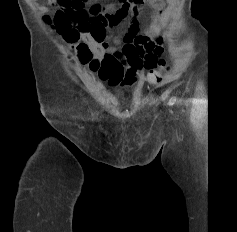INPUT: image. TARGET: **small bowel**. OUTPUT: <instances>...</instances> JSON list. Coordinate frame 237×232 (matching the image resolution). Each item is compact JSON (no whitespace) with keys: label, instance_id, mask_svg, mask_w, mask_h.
Instances as JSON below:
<instances>
[{"label":"small bowel","instance_id":"1","mask_svg":"<svg viewBox=\"0 0 237 232\" xmlns=\"http://www.w3.org/2000/svg\"><path fill=\"white\" fill-rule=\"evenodd\" d=\"M154 10L150 25L139 34L136 21H133L121 41V46H112L111 30L120 25L124 17L107 15L104 29L98 33H86L76 38H65L72 44L79 61L89 70L97 72L101 80L111 86L132 87L143 70L157 67L164 51L166 32L175 0H148ZM167 3V7H165Z\"/></svg>","mask_w":237,"mask_h":232}]
</instances>
